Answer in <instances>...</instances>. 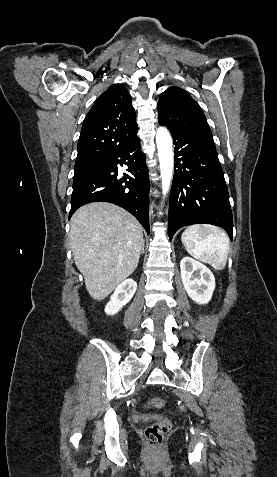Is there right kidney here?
I'll use <instances>...</instances> for the list:
<instances>
[{"label":"right kidney","mask_w":277,"mask_h":477,"mask_svg":"<svg viewBox=\"0 0 277 477\" xmlns=\"http://www.w3.org/2000/svg\"><path fill=\"white\" fill-rule=\"evenodd\" d=\"M136 289L137 283L133 279H126L119 284L105 307L106 314L114 315L119 312L132 299Z\"/></svg>","instance_id":"right-kidney-1"}]
</instances>
